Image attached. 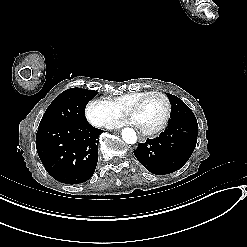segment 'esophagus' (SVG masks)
I'll return each instance as SVG.
<instances>
[{
    "label": "esophagus",
    "instance_id": "34e87169",
    "mask_svg": "<svg viewBox=\"0 0 247 247\" xmlns=\"http://www.w3.org/2000/svg\"><path fill=\"white\" fill-rule=\"evenodd\" d=\"M139 142L140 143H145L146 142V138L142 137V136H138Z\"/></svg>",
    "mask_w": 247,
    "mask_h": 247
}]
</instances>
